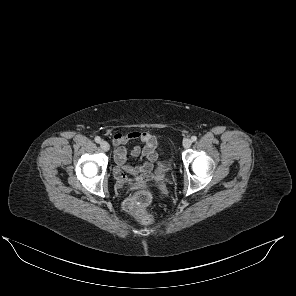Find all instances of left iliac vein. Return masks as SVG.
Masks as SVG:
<instances>
[{
	"instance_id": "obj_1",
	"label": "left iliac vein",
	"mask_w": 296,
	"mask_h": 296,
	"mask_svg": "<svg viewBox=\"0 0 296 296\" xmlns=\"http://www.w3.org/2000/svg\"><path fill=\"white\" fill-rule=\"evenodd\" d=\"M191 144H192L191 139L186 138V139L183 140V146H184V148H186V149L187 148H190Z\"/></svg>"
}]
</instances>
